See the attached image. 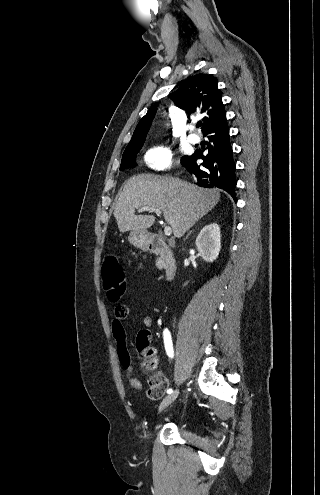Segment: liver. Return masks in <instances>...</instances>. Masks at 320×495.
I'll return each instance as SVG.
<instances>
[{
  "instance_id": "obj_1",
  "label": "liver",
  "mask_w": 320,
  "mask_h": 495,
  "mask_svg": "<svg viewBox=\"0 0 320 495\" xmlns=\"http://www.w3.org/2000/svg\"><path fill=\"white\" fill-rule=\"evenodd\" d=\"M217 190L199 188L188 182L150 174L133 176L124 185L114 210L121 233L145 231L155 221L153 215H135V210L152 207L163 212L173 235L182 237L219 202Z\"/></svg>"
}]
</instances>
